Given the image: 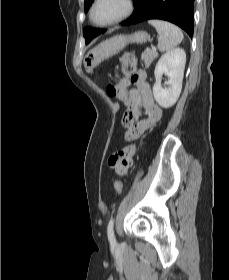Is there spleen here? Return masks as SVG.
<instances>
[{
	"instance_id": "1",
	"label": "spleen",
	"mask_w": 229,
	"mask_h": 280,
	"mask_svg": "<svg viewBox=\"0 0 229 280\" xmlns=\"http://www.w3.org/2000/svg\"><path fill=\"white\" fill-rule=\"evenodd\" d=\"M159 35L158 49L161 52L176 47L183 40L182 31L174 24L162 20H149Z\"/></svg>"
}]
</instances>
